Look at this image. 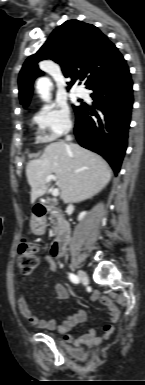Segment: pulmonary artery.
<instances>
[{"label": "pulmonary artery", "mask_w": 145, "mask_h": 385, "mask_svg": "<svg viewBox=\"0 0 145 385\" xmlns=\"http://www.w3.org/2000/svg\"><path fill=\"white\" fill-rule=\"evenodd\" d=\"M75 92H76V95L79 97H84L86 95V90L82 87L76 88Z\"/></svg>", "instance_id": "1"}]
</instances>
